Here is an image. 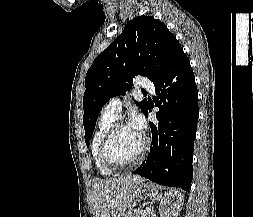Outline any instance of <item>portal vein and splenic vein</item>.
I'll list each match as a JSON object with an SVG mask.
<instances>
[{"instance_id":"1","label":"portal vein and splenic vein","mask_w":253,"mask_h":217,"mask_svg":"<svg viewBox=\"0 0 253 217\" xmlns=\"http://www.w3.org/2000/svg\"><path fill=\"white\" fill-rule=\"evenodd\" d=\"M150 213V208L147 207L144 210H142L141 212V217H145L146 215H148Z\"/></svg>"}]
</instances>
